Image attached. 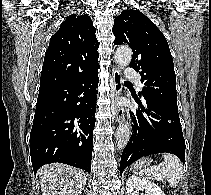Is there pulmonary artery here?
<instances>
[{
  "label": "pulmonary artery",
  "mask_w": 211,
  "mask_h": 195,
  "mask_svg": "<svg viewBox=\"0 0 211 195\" xmlns=\"http://www.w3.org/2000/svg\"><path fill=\"white\" fill-rule=\"evenodd\" d=\"M125 73H126V76L129 79H132V80L136 81L137 84H138V86L140 88H142V84L140 82V76H139V74L133 68H130V67L126 68Z\"/></svg>",
  "instance_id": "obj_1"
}]
</instances>
